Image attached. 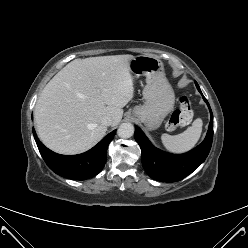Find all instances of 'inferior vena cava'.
<instances>
[{"instance_id":"obj_1","label":"inferior vena cava","mask_w":248,"mask_h":248,"mask_svg":"<svg viewBox=\"0 0 248 248\" xmlns=\"http://www.w3.org/2000/svg\"><path fill=\"white\" fill-rule=\"evenodd\" d=\"M102 124L103 125H105V126H110V125H112V123H113V119H112V117H110V116H106V117H104L103 119H102Z\"/></svg>"}]
</instances>
